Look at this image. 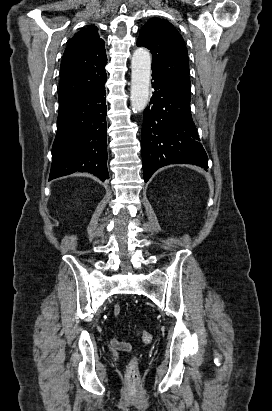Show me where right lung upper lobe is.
Segmentation results:
<instances>
[{"instance_id": "cb5924a9", "label": "right lung upper lobe", "mask_w": 272, "mask_h": 411, "mask_svg": "<svg viewBox=\"0 0 272 411\" xmlns=\"http://www.w3.org/2000/svg\"><path fill=\"white\" fill-rule=\"evenodd\" d=\"M104 46L95 26L72 37L60 66L59 102L94 89L106 80Z\"/></svg>"}]
</instances>
